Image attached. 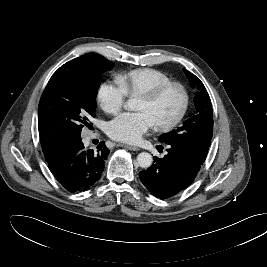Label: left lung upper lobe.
Segmentation results:
<instances>
[{"label":"left lung upper lobe","instance_id":"1","mask_svg":"<svg viewBox=\"0 0 267 267\" xmlns=\"http://www.w3.org/2000/svg\"><path fill=\"white\" fill-rule=\"evenodd\" d=\"M183 71L192 86L199 91L194 99L196 111L193 115L189 114L190 118L177 130L162 134L159 141L168 145L181 146L193 152L200 161L204 162L213 135L211 100L200 79L186 69Z\"/></svg>","mask_w":267,"mask_h":267}]
</instances>
